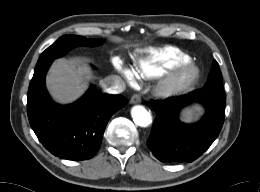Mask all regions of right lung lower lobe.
Instances as JSON below:
<instances>
[{"label": "right lung lower lobe", "mask_w": 260, "mask_h": 192, "mask_svg": "<svg viewBox=\"0 0 260 192\" xmlns=\"http://www.w3.org/2000/svg\"><path fill=\"white\" fill-rule=\"evenodd\" d=\"M52 62L35 68L28 89L27 113L39 141L53 155L86 160L98 151L110 117L124 107L121 95L103 94L94 87L76 103L56 104L45 88V75Z\"/></svg>", "instance_id": "right-lung-lower-lobe-1"}]
</instances>
